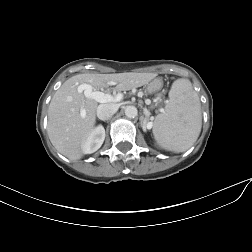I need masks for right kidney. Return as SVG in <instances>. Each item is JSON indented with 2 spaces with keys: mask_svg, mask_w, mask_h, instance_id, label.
<instances>
[{
  "mask_svg": "<svg viewBox=\"0 0 252 252\" xmlns=\"http://www.w3.org/2000/svg\"><path fill=\"white\" fill-rule=\"evenodd\" d=\"M105 139V129L102 125L94 128L86 137L82 145V151L84 154H91L96 152Z\"/></svg>",
  "mask_w": 252,
  "mask_h": 252,
  "instance_id": "1",
  "label": "right kidney"
}]
</instances>
